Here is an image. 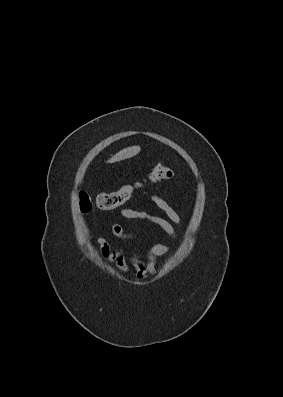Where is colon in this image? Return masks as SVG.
<instances>
[{
    "instance_id": "obj_1",
    "label": "colon",
    "mask_w": 283,
    "mask_h": 397,
    "mask_svg": "<svg viewBox=\"0 0 283 397\" xmlns=\"http://www.w3.org/2000/svg\"><path fill=\"white\" fill-rule=\"evenodd\" d=\"M174 176L171 167L164 163H158L150 169L149 179L153 182L168 180ZM134 187L124 185L121 188L111 191L102 192L92 197L86 190L79 193L80 207L83 212L90 211L93 207L100 210H113L123 206L131 197Z\"/></svg>"
}]
</instances>
